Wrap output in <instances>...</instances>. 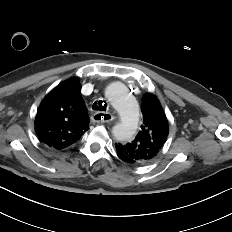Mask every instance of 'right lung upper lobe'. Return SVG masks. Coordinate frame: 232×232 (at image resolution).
<instances>
[{
	"label": "right lung upper lobe",
	"mask_w": 232,
	"mask_h": 232,
	"mask_svg": "<svg viewBox=\"0 0 232 232\" xmlns=\"http://www.w3.org/2000/svg\"><path fill=\"white\" fill-rule=\"evenodd\" d=\"M88 129V111L76 77L55 87L37 110L36 135L41 143L57 150L77 142Z\"/></svg>",
	"instance_id": "cb5924a9"
}]
</instances>
